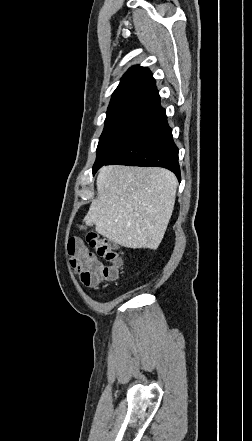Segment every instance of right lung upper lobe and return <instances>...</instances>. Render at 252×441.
Listing matches in <instances>:
<instances>
[{"label":"right lung upper lobe","mask_w":252,"mask_h":441,"mask_svg":"<svg viewBox=\"0 0 252 441\" xmlns=\"http://www.w3.org/2000/svg\"><path fill=\"white\" fill-rule=\"evenodd\" d=\"M157 94L155 80L148 68L133 66L122 77L108 109L134 102H148Z\"/></svg>","instance_id":"1"}]
</instances>
